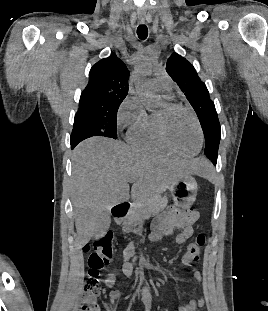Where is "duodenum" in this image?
<instances>
[{
    "instance_id": "410a0bca",
    "label": "duodenum",
    "mask_w": 268,
    "mask_h": 311,
    "mask_svg": "<svg viewBox=\"0 0 268 311\" xmlns=\"http://www.w3.org/2000/svg\"><path fill=\"white\" fill-rule=\"evenodd\" d=\"M129 209H130L129 202H123L115 205L113 208L114 219L118 222L122 221L125 218Z\"/></svg>"
}]
</instances>
